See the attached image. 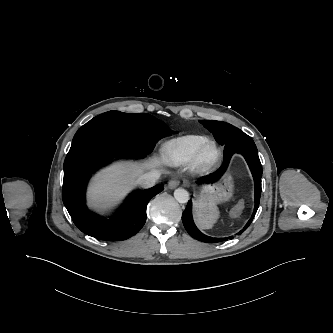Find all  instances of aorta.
<instances>
[{
    "label": "aorta",
    "instance_id": "1",
    "mask_svg": "<svg viewBox=\"0 0 333 333\" xmlns=\"http://www.w3.org/2000/svg\"><path fill=\"white\" fill-rule=\"evenodd\" d=\"M174 197L179 203H187L189 200V193L183 188H177L174 191Z\"/></svg>",
    "mask_w": 333,
    "mask_h": 333
}]
</instances>
